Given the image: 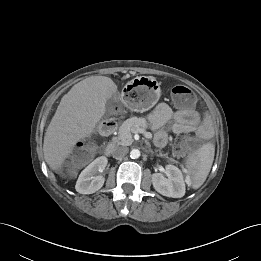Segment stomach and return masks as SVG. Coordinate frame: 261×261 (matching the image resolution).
Listing matches in <instances>:
<instances>
[{"mask_svg": "<svg viewBox=\"0 0 261 261\" xmlns=\"http://www.w3.org/2000/svg\"><path fill=\"white\" fill-rule=\"evenodd\" d=\"M159 83L151 77H137L129 81L122 91V102L134 112L152 108L160 97Z\"/></svg>", "mask_w": 261, "mask_h": 261, "instance_id": "1", "label": "stomach"}]
</instances>
